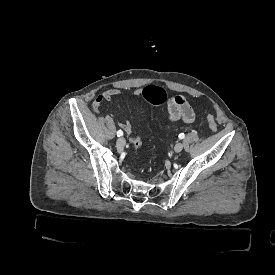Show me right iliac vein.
<instances>
[{"label":"right iliac vein","mask_w":275,"mask_h":275,"mask_svg":"<svg viewBox=\"0 0 275 275\" xmlns=\"http://www.w3.org/2000/svg\"><path fill=\"white\" fill-rule=\"evenodd\" d=\"M125 144H126V140L123 137H120L116 142L117 148L119 149L123 148Z\"/></svg>","instance_id":"obj_1"}]
</instances>
